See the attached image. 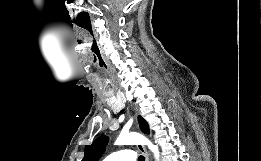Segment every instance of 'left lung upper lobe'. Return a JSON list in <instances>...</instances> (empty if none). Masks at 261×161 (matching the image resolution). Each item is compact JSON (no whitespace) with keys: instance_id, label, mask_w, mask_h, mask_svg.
Instances as JSON below:
<instances>
[{"instance_id":"left-lung-upper-lobe-1","label":"left lung upper lobe","mask_w":261,"mask_h":161,"mask_svg":"<svg viewBox=\"0 0 261 161\" xmlns=\"http://www.w3.org/2000/svg\"><path fill=\"white\" fill-rule=\"evenodd\" d=\"M139 125L141 130L149 134V129L146 121L139 116L138 117ZM108 137L107 136H101L97 138L91 145L85 146V156L82 161H98L99 157L103 154L105 151V146L107 145Z\"/></svg>"}]
</instances>
